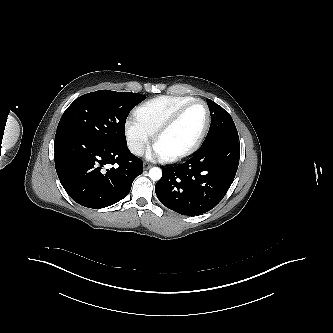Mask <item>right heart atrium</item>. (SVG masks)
Returning <instances> with one entry per match:
<instances>
[{"instance_id": "d8ad5b80", "label": "right heart atrium", "mask_w": 333, "mask_h": 333, "mask_svg": "<svg viewBox=\"0 0 333 333\" xmlns=\"http://www.w3.org/2000/svg\"><path fill=\"white\" fill-rule=\"evenodd\" d=\"M124 132L129 150L141 155L149 145L152 134L135 117L126 119Z\"/></svg>"}]
</instances>
